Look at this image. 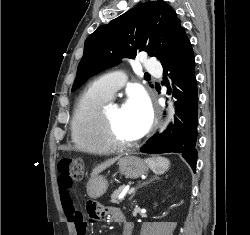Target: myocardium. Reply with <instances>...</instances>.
I'll return each mask as SVG.
<instances>
[{
  "mask_svg": "<svg viewBox=\"0 0 250 235\" xmlns=\"http://www.w3.org/2000/svg\"><path fill=\"white\" fill-rule=\"evenodd\" d=\"M103 123H104V134L108 143L112 146L113 149L117 150H129L138 146L142 138H138L132 142H125L121 140L116 132L114 125V120L112 115L109 113V109L104 108L102 111Z\"/></svg>",
  "mask_w": 250,
  "mask_h": 235,
  "instance_id": "f54148a6",
  "label": "myocardium"
}]
</instances>
